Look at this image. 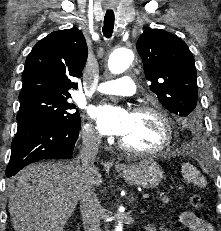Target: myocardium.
<instances>
[{
	"mask_svg": "<svg viewBox=\"0 0 221 231\" xmlns=\"http://www.w3.org/2000/svg\"><path fill=\"white\" fill-rule=\"evenodd\" d=\"M135 114H152L155 115L164 127V140L161 145L153 149H138L128 146L122 139H119L118 145L126 152L135 155L155 156L165 152L174 142V128L169 115L162 109L152 105H139L134 110Z\"/></svg>",
	"mask_w": 221,
	"mask_h": 231,
	"instance_id": "obj_1",
	"label": "myocardium"
}]
</instances>
